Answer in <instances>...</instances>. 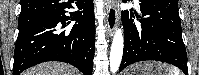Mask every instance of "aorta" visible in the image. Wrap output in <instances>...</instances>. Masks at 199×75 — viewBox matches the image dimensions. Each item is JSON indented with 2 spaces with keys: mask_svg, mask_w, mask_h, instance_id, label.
Masks as SVG:
<instances>
[{
  "mask_svg": "<svg viewBox=\"0 0 199 75\" xmlns=\"http://www.w3.org/2000/svg\"><path fill=\"white\" fill-rule=\"evenodd\" d=\"M124 40L121 29L116 30L110 51V71L115 73L119 69L123 55Z\"/></svg>",
  "mask_w": 199,
  "mask_h": 75,
  "instance_id": "obj_1",
  "label": "aorta"
}]
</instances>
